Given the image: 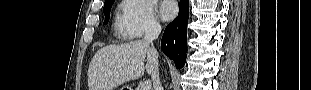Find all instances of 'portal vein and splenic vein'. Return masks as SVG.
<instances>
[{"label": "portal vein and splenic vein", "mask_w": 311, "mask_h": 90, "mask_svg": "<svg viewBox=\"0 0 311 90\" xmlns=\"http://www.w3.org/2000/svg\"><path fill=\"white\" fill-rule=\"evenodd\" d=\"M151 82L149 80L144 81L141 90H151Z\"/></svg>", "instance_id": "1"}]
</instances>
